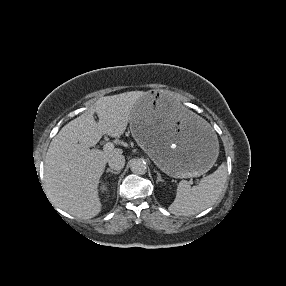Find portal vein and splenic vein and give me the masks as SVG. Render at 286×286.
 Masks as SVG:
<instances>
[{
  "label": "portal vein and splenic vein",
  "mask_w": 286,
  "mask_h": 286,
  "mask_svg": "<svg viewBox=\"0 0 286 286\" xmlns=\"http://www.w3.org/2000/svg\"><path fill=\"white\" fill-rule=\"evenodd\" d=\"M104 152H111L112 150H114V144L112 142H108L104 145L103 147ZM193 183V182H191Z\"/></svg>",
  "instance_id": "18ae733b"
}]
</instances>
